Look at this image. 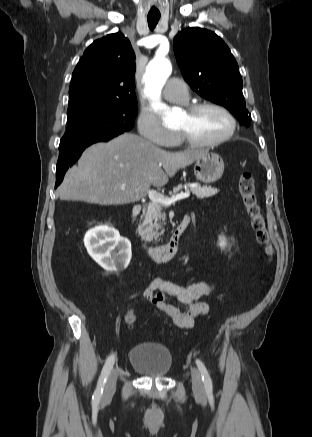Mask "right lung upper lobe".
<instances>
[{
	"label": "right lung upper lobe",
	"instance_id": "1",
	"mask_svg": "<svg viewBox=\"0 0 312 437\" xmlns=\"http://www.w3.org/2000/svg\"><path fill=\"white\" fill-rule=\"evenodd\" d=\"M134 73L135 54L123 34L94 41L72 74L68 107L87 102H136Z\"/></svg>",
	"mask_w": 312,
	"mask_h": 437
}]
</instances>
